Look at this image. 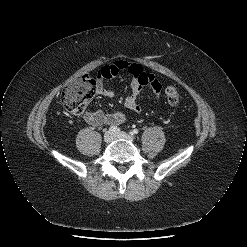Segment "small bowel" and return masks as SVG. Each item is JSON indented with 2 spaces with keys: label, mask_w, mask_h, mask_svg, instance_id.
Returning <instances> with one entry per match:
<instances>
[{
  "label": "small bowel",
  "mask_w": 247,
  "mask_h": 247,
  "mask_svg": "<svg viewBox=\"0 0 247 247\" xmlns=\"http://www.w3.org/2000/svg\"><path fill=\"white\" fill-rule=\"evenodd\" d=\"M123 71L130 75L131 94L125 98V108L127 111L134 113H139L141 111V106L137 101V96L144 87H149L154 93L156 99L160 98L163 92V86L160 81L155 78L154 75L144 71L139 64L123 60L104 65L100 69L96 79V94L106 98L112 97L113 91L106 88L103 81L112 78ZM83 118L92 126L118 125L125 121L126 112L120 111L115 113H105L102 110H97L86 112Z\"/></svg>",
  "instance_id": "1"
}]
</instances>
